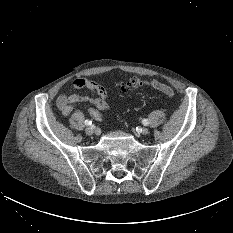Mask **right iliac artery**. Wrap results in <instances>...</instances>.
I'll use <instances>...</instances> for the list:
<instances>
[{
    "instance_id": "obj_1",
    "label": "right iliac artery",
    "mask_w": 233,
    "mask_h": 233,
    "mask_svg": "<svg viewBox=\"0 0 233 233\" xmlns=\"http://www.w3.org/2000/svg\"><path fill=\"white\" fill-rule=\"evenodd\" d=\"M91 124H92V122L90 120L85 121V125L90 126Z\"/></svg>"
}]
</instances>
